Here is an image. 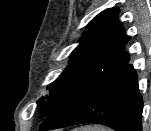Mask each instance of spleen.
Segmentation results:
<instances>
[{"instance_id": "1", "label": "spleen", "mask_w": 151, "mask_h": 131, "mask_svg": "<svg viewBox=\"0 0 151 131\" xmlns=\"http://www.w3.org/2000/svg\"><path fill=\"white\" fill-rule=\"evenodd\" d=\"M75 131H111V130L100 126H84L79 129H75Z\"/></svg>"}]
</instances>
